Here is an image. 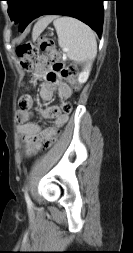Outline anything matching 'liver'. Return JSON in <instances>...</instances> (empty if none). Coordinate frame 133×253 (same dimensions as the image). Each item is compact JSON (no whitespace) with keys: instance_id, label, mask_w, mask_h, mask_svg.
Returning <instances> with one entry per match:
<instances>
[{"instance_id":"liver-1","label":"liver","mask_w":133,"mask_h":253,"mask_svg":"<svg viewBox=\"0 0 133 253\" xmlns=\"http://www.w3.org/2000/svg\"><path fill=\"white\" fill-rule=\"evenodd\" d=\"M54 18L55 16L48 15L39 19L33 28V37H38Z\"/></svg>"}]
</instances>
